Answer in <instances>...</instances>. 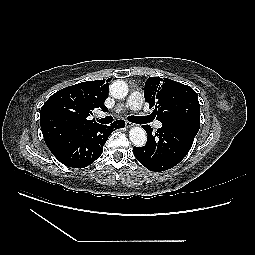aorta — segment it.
Masks as SVG:
<instances>
[{"instance_id":"762f6f07","label":"aorta","mask_w":255,"mask_h":255,"mask_svg":"<svg viewBox=\"0 0 255 255\" xmlns=\"http://www.w3.org/2000/svg\"><path fill=\"white\" fill-rule=\"evenodd\" d=\"M127 93H128V86L122 80H117L113 82L110 86V94L115 99H122L127 95ZM129 138L135 146L142 147L146 143L147 135L143 128L133 127L129 131Z\"/></svg>"}]
</instances>
